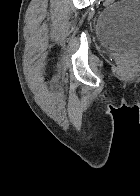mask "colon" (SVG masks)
Returning a JSON list of instances; mask_svg holds the SVG:
<instances>
[{
    "instance_id": "colon-1",
    "label": "colon",
    "mask_w": 140,
    "mask_h": 196,
    "mask_svg": "<svg viewBox=\"0 0 140 196\" xmlns=\"http://www.w3.org/2000/svg\"><path fill=\"white\" fill-rule=\"evenodd\" d=\"M116 0H105V5H111L114 4ZM118 68L121 71H126L128 69V64L125 60L121 59L118 62Z\"/></svg>"
}]
</instances>
